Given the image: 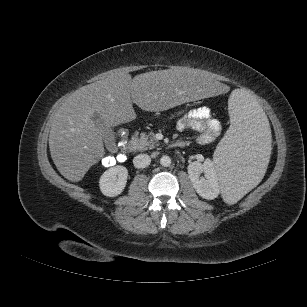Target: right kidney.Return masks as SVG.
Instances as JSON below:
<instances>
[{
    "mask_svg": "<svg viewBox=\"0 0 307 307\" xmlns=\"http://www.w3.org/2000/svg\"><path fill=\"white\" fill-rule=\"evenodd\" d=\"M128 170L117 165L106 170L99 179L101 192L107 197H115L121 194L126 186Z\"/></svg>",
    "mask_w": 307,
    "mask_h": 307,
    "instance_id": "obj_1",
    "label": "right kidney"
}]
</instances>
